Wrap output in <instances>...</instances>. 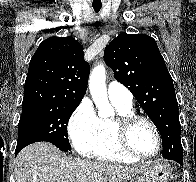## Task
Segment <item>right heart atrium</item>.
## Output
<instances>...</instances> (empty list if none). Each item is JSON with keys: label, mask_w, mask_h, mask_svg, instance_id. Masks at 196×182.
<instances>
[{"label": "right heart atrium", "mask_w": 196, "mask_h": 182, "mask_svg": "<svg viewBox=\"0 0 196 182\" xmlns=\"http://www.w3.org/2000/svg\"><path fill=\"white\" fill-rule=\"evenodd\" d=\"M99 131V118L88 101H82L71 115L68 132L75 150L87 155L93 148Z\"/></svg>", "instance_id": "right-heart-atrium-1"}]
</instances>
